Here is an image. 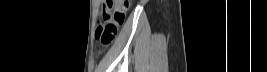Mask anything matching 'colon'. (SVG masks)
Wrapping results in <instances>:
<instances>
[{
  "mask_svg": "<svg viewBox=\"0 0 267 72\" xmlns=\"http://www.w3.org/2000/svg\"><path fill=\"white\" fill-rule=\"evenodd\" d=\"M130 0H106L104 1L103 12L108 16L98 22L95 30V38L102 45H109L118 33V27L128 10Z\"/></svg>",
  "mask_w": 267,
  "mask_h": 72,
  "instance_id": "colon-1",
  "label": "colon"
}]
</instances>
